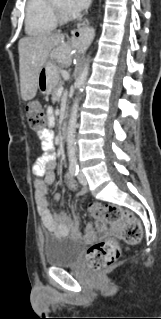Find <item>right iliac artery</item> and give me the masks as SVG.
Instances as JSON below:
<instances>
[{"label": "right iliac artery", "mask_w": 161, "mask_h": 319, "mask_svg": "<svg viewBox=\"0 0 161 319\" xmlns=\"http://www.w3.org/2000/svg\"><path fill=\"white\" fill-rule=\"evenodd\" d=\"M69 172L72 176H77L79 172V166L74 164L69 167Z\"/></svg>", "instance_id": "82829eb1"}]
</instances>
